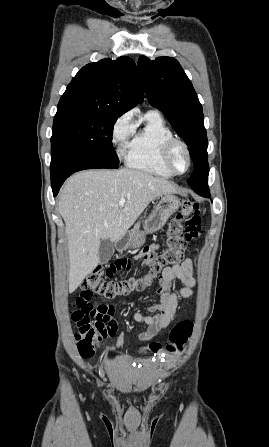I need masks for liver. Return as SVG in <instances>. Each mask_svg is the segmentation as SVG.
I'll list each match as a JSON object with an SVG mask.
<instances>
[{"label":"liver","instance_id":"1","mask_svg":"<svg viewBox=\"0 0 269 447\" xmlns=\"http://www.w3.org/2000/svg\"><path fill=\"white\" fill-rule=\"evenodd\" d=\"M176 192L173 182L128 168L71 176L58 204L68 239L69 293L97 267L102 239L119 241L154 198ZM121 198L126 200L124 206H119Z\"/></svg>","mask_w":269,"mask_h":447}]
</instances>
